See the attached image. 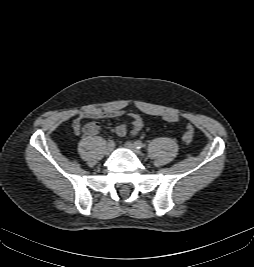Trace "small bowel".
I'll return each instance as SVG.
<instances>
[{
    "instance_id": "small-bowel-1",
    "label": "small bowel",
    "mask_w": 254,
    "mask_h": 267,
    "mask_svg": "<svg viewBox=\"0 0 254 267\" xmlns=\"http://www.w3.org/2000/svg\"><path fill=\"white\" fill-rule=\"evenodd\" d=\"M125 114L123 110L118 109H93L80 112L78 116L73 121V129L76 134L83 133L87 136L97 135L99 132V125L96 122H90L86 125H82L84 119H103V118H116L121 117ZM131 119V128L128 129L126 124H120L115 128V132L118 136H125L130 133L132 136L137 135L142 127L143 120L142 118L135 113L129 115Z\"/></svg>"
}]
</instances>
